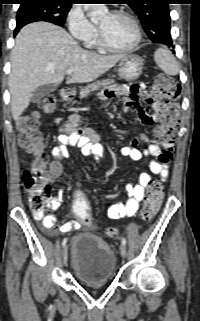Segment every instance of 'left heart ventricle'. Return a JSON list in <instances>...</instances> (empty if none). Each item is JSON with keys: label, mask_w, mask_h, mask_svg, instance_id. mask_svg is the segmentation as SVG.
I'll return each mask as SVG.
<instances>
[{"label": "left heart ventricle", "mask_w": 200, "mask_h": 321, "mask_svg": "<svg viewBox=\"0 0 200 321\" xmlns=\"http://www.w3.org/2000/svg\"><path fill=\"white\" fill-rule=\"evenodd\" d=\"M98 26L107 42L114 47H127L135 39L134 25L125 17L106 14Z\"/></svg>", "instance_id": "b2bd125f"}]
</instances>
